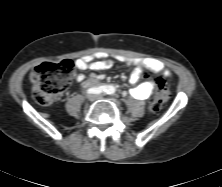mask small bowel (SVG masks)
Instances as JSON below:
<instances>
[{
	"mask_svg": "<svg viewBox=\"0 0 222 187\" xmlns=\"http://www.w3.org/2000/svg\"><path fill=\"white\" fill-rule=\"evenodd\" d=\"M116 59L120 62L125 63L127 66L132 68V74L130 77V82L136 85L142 73L146 70H151L164 77H171L172 73L168 67L164 65L161 61L155 59H134L124 56H117ZM113 65V60L108 58L106 54H98V60L94 61L92 56H86L80 58L76 61V66L80 70L92 69V70H105L111 68ZM78 82H83L85 80L84 75L78 74L76 77ZM155 88V82L147 81L134 86L130 93L133 97L146 100L148 99Z\"/></svg>",
	"mask_w": 222,
	"mask_h": 187,
	"instance_id": "1",
	"label": "small bowel"
}]
</instances>
